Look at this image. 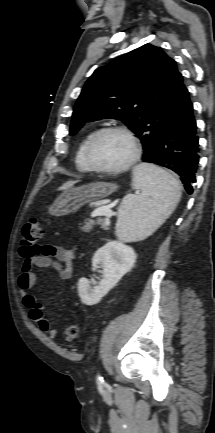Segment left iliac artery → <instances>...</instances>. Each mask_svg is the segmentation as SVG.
<instances>
[{
    "label": "left iliac artery",
    "instance_id": "44dca946",
    "mask_svg": "<svg viewBox=\"0 0 215 433\" xmlns=\"http://www.w3.org/2000/svg\"><path fill=\"white\" fill-rule=\"evenodd\" d=\"M97 380L100 381V382H103V381H104V380H103V377H101L99 374L97 375Z\"/></svg>",
    "mask_w": 215,
    "mask_h": 433
}]
</instances>
